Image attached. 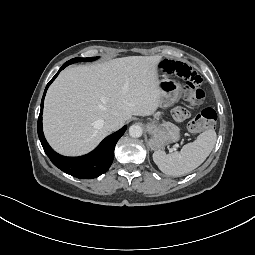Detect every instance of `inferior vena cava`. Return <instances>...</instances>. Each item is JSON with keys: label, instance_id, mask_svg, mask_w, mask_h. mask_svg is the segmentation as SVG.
Instances as JSON below:
<instances>
[{"label": "inferior vena cava", "instance_id": "1", "mask_svg": "<svg viewBox=\"0 0 255 255\" xmlns=\"http://www.w3.org/2000/svg\"><path fill=\"white\" fill-rule=\"evenodd\" d=\"M121 126V121L115 117H110L105 121V128L110 132L118 130Z\"/></svg>", "mask_w": 255, "mask_h": 255}]
</instances>
